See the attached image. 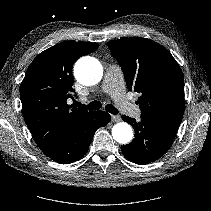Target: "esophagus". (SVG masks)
Here are the masks:
<instances>
[{
	"label": "esophagus",
	"mask_w": 211,
	"mask_h": 211,
	"mask_svg": "<svg viewBox=\"0 0 211 211\" xmlns=\"http://www.w3.org/2000/svg\"><path fill=\"white\" fill-rule=\"evenodd\" d=\"M111 119L113 122H119L121 120L120 116L118 115H111Z\"/></svg>",
	"instance_id": "obj_1"
}]
</instances>
